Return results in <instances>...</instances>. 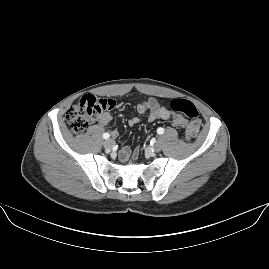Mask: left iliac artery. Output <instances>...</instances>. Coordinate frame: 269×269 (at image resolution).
Here are the masks:
<instances>
[{
	"label": "left iliac artery",
	"instance_id": "obj_1",
	"mask_svg": "<svg viewBox=\"0 0 269 269\" xmlns=\"http://www.w3.org/2000/svg\"><path fill=\"white\" fill-rule=\"evenodd\" d=\"M157 133H158V134H163V133H164V129L161 128V127L158 128V129H157Z\"/></svg>",
	"mask_w": 269,
	"mask_h": 269
}]
</instances>
